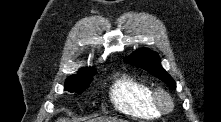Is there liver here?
Instances as JSON below:
<instances>
[{
    "instance_id": "obj_1",
    "label": "liver",
    "mask_w": 221,
    "mask_h": 122,
    "mask_svg": "<svg viewBox=\"0 0 221 122\" xmlns=\"http://www.w3.org/2000/svg\"><path fill=\"white\" fill-rule=\"evenodd\" d=\"M57 122H68V119L60 118L57 120ZM95 122H126V121L117 118H97L95 119Z\"/></svg>"
}]
</instances>
